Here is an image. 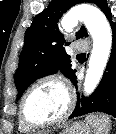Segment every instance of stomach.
<instances>
[{
    "label": "stomach",
    "instance_id": "obj_1",
    "mask_svg": "<svg viewBox=\"0 0 116 134\" xmlns=\"http://www.w3.org/2000/svg\"><path fill=\"white\" fill-rule=\"evenodd\" d=\"M91 125L87 122H73L64 126L59 134H91ZM48 134V133H46Z\"/></svg>",
    "mask_w": 116,
    "mask_h": 134
}]
</instances>
